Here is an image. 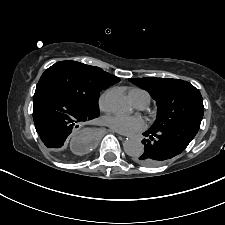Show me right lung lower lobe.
<instances>
[{"mask_svg": "<svg viewBox=\"0 0 225 225\" xmlns=\"http://www.w3.org/2000/svg\"><path fill=\"white\" fill-rule=\"evenodd\" d=\"M96 117L98 116L84 111L54 87L37 84L33 97V120L46 147L61 150L67 137L80 123ZM89 144L93 145L94 141Z\"/></svg>", "mask_w": 225, "mask_h": 225, "instance_id": "98d812e1", "label": "right lung lower lobe"}]
</instances>
